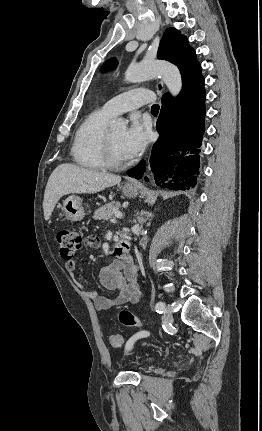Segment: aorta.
Returning <instances> with one entry per match:
<instances>
[{
  "mask_svg": "<svg viewBox=\"0 0 262 431\" xmlns=\"http://www.w3.org/2000/svg\"><path fill=\"white\" fill-rule=\"evenodd\" d=\"M153 77H160L173 97L182 89V77L179 69L168 62H142L131 65L125 72V80L130 83L141 82ZM110 127L114 132L124 131L126 123L122 118L112 120Z\"/></svg>",
  "mask_w": 262,
  "mask_h": 431,
  "instance_id": "762f6f07",
  "label": "aorta"
}]
</instances>
